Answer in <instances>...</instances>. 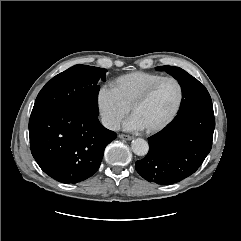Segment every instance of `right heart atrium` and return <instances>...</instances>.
Instances as JSON below:
<instances>
[{
    "mask_svg": "<svg viewBox=\"0 0 241 241\" xmlns=\"http://www.w3.org/2000/svg\"><path fill=\"white\" fill-rule=\"evenodd\" d=\"M97 106L104 125L115 130L129 112L112 87L102 86L97 93Z\"/></svg>",
    "mask_w": 241,
    "mask_h": 241,
    "instance_id": "right-heart-atrium-1",
    "label": "right heart atrium"
}]
</instances>
